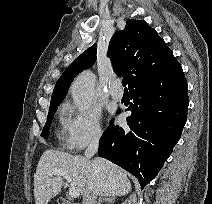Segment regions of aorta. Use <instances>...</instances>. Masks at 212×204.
Returning a JSON list of instances; mask_svg holds the SVG:
<instances>
[{"label": "aorta", "instance_id": "aorta-1", "mask_svg": "<svg viewBox=\"0 0 212 204\" xmlns=\"http://www.w3.org/2000/svg\"><path fill=\"white\" fill-rule=\"evenodd\" d=\"M95 75L87 70L82 72L75 79L71 94L76 107L82 110H88L91 107L94 97Z\"/></svg>", "mask_w": 212, "mask_h": 204}]
</instances>
